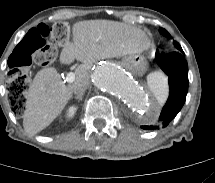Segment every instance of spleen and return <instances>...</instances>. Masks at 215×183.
Segmentation results:
<instances>
[{
  "label": "spleen",
  "mask_w": 215,
  "mask_h": 183,
  "mask_svg": "<svg viewBox=\"0 0 215 183\" xmlns=\"http://www.w3.org/2000/svg\"><path fill=\"white\" fill-rule=\"evenodd\" d=\"M148 86L160 104H162L168 95L167 78L158 72H154L147 77Z\"/></svg>",
  "instance_id": "3e777b00"
}]
</instances>
